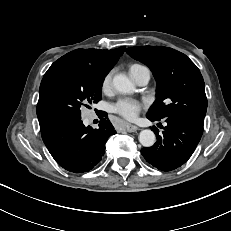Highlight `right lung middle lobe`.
Returning a JSON list of instances; mask_svg holds the SVG:
<instances>
[{
	"label": "right lung middle lobe",
	"instance_id": "right-lung-middle-lobe-1",
	"mask_svg": "<svg viewBox=\"0 0 231 231\" xmlns=\"http://www.w3.org/2000/svg\"><path fill=\"white\" fill-rule=\"evenodd\" d=\"M107 73L86 63L67 61L45 77L43 102L51 118L58 123L81 119V107L101 99Z\"/></svg>",
	"mask_w": 231,
	"mask_h": 231
}]
</instances>
